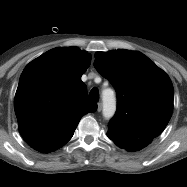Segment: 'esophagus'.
Wrapping results in <instances>:
<instances>
[{"instance_id":"1","label":"esophagus","mask_w":187,"mask_h":187,"mask_svg":"<svg viewBox=\"0 0 187 187\" xmlns=\"http://www.w3.org/2000/svg\"><path fill=\"white\" fill-rule=\"evenodd\" d=\"M101 110H102V103L99 102V103L97 104V111L100 112Z\"/></svg>"}]
</instances>
